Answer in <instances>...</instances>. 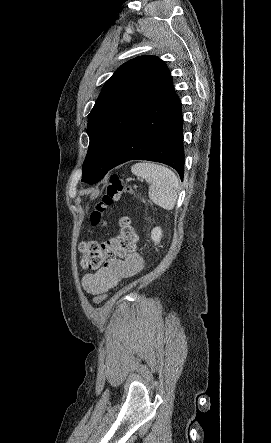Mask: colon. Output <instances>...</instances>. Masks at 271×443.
<instances>
[{
	"mask_svg": "<svg viewBox=\"0 0 271 443\" xmlns=\"http://www.w3.org/2000/svg\"><path fill=\"white\" fill-rule=\"evenodd\" d=\"M132 192V188L119 176L112 175L107 183L105 193L95 205L91 213V223L95 226L104 225L103 212L105 208L120 199L124 193ZM119 233L107 242L85 241L80 245L82 253L81 266L85 270H97L103 263L115 257H122L134 251L138 236L127 217L119 219ZM105 293L94 297V304H100L106 299Z\"/></svg>",
	"mask_w": 271,
	"mask_h": 443,
	"instance_id": "1",
	"label": "colon"
}]
</instances>
